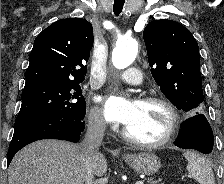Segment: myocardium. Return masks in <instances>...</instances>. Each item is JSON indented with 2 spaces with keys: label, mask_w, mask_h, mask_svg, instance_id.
Instances as JSON below:
<instances>
[{
  "label": "myocardium",
  "mask_w": 224,
  "mask_h": 184,
  "mask_svg": "<svg viewBox=\"0 0 224 184\" xmlns=\"http://www.w3.org/2000/svg\"><path fill=\"white\" fill-rule=\"evenodd\" d=\"M140 102L147 103V104H159L167 110L170 120H169L166 133L161 139L157 141H142L133 137L129 133L127 127H125L123 129L124 138L135 145L146 147V148H159L168 144L175 137L181 123L178 109L171 101L160 96H146V97H143L140 100Z\"/></svg>",
  "instance_id": "obj_1"
}]
</instances>
